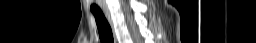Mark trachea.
<instances>
[{
    "label": "trachea",
    "mask_w": 256,
    "mask_h": 43,
    "mask_svg": "<svg viewBox=\"0 0 256 43\" xmlns=\"http://www.w3.org/2000/svg\"><path fill=\"white\" fill-rule=\"evenodd\" d=\"M91 12L93 13L96 20L101 43H114L111 26L105 15L103 14L102 10L91 9Z\"/></svg>",
    "instance_id": "1"
}]
</instances>
